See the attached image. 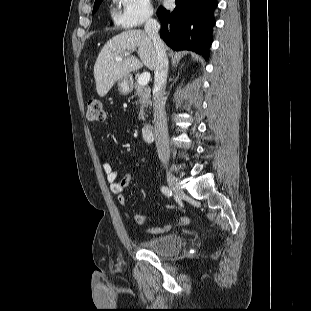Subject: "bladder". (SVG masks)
Returning <instances> with one entry per match:
<instances>
[{
  "label": "bladder",
  "mask_w": 311,
  "mask_h": 311,
  "mask_svg": "<svg viewBox=\"0 0 311 311\" xmlns=\"http://www.w3.org/2000/svg\"><path fill=\"white\" fill-rule=\"evenodd\" d=\"M183 244L184 238L180 234H165L140 241V247L143 250L165 255L178 252Z\"/></svg>",
  "instance_id": "bladder-1"
}]
</instances>
